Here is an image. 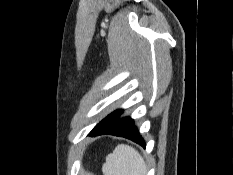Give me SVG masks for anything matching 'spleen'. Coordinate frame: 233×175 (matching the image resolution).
Instances as JSON below:
<instances>
[{"mask_svg": "<svg viewBox=\"0 0 233 175\" xmlns=\"http://www.w3.org/2000/svg\"><path fill=\"white\" fill-rule=\"evenodd\" d=\"M104 175H146L143 158L131 146L119 144L113 153L106 157L102 168Z\"/></svg>", "mask_w": 233, "mask_h": 175, "instance_id": "spleen-1", "label": "spleen"}]
</instances>
